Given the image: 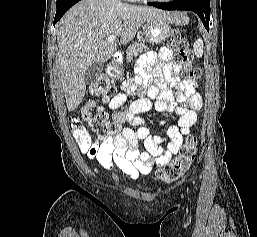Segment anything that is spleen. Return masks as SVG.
Here are the masks:
<instances>
[{
    "mask_svg": "<svg viewBox=\"0 0 257 237\" xmlns=\"http://www.w3.org/2000/svg\"><path fill=\"white\" fill-rule=\"evenodd\" d=\"M194 53L197 58L203 55V40L201 38L197 39L193 45Z\"/></svg>",
    "mask_w": 257,
    "mask_h": 237,
    "instance_id": "spleen-1",
    "label": "spleen"
}]
</instances>
